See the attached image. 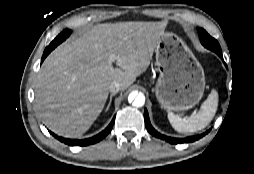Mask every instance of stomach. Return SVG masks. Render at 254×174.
<instances>
[{
    "label": "stomach",
    "instance_id": "0dacf381",
    "mask_svg": "<svg viewBox=\"0 0 254 174\" xmlns=\"http://www.w3.org/2000/svg\"><path fill=\"white\" fill-rule=\"evenodd\" d=\"M159 78L155 87L161 107L168 112L185 111L196 105L205 88L204 70L186 43L165 32L155 46Z\"/></svg>",
    "mask_w": 254,
    "mask_h": 174
}]
</instances>
